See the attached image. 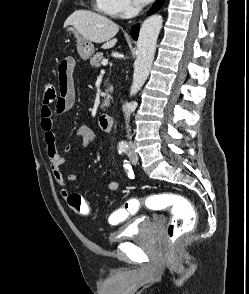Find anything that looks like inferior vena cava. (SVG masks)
<instances>
[{
  "label": "inferior vena cava",
  "instance_id": "inferior-vena-cava-1",
  "mask_svg": "<svg viewBox=\"0 0 249 294\" xmlns=\"http://www.w3.org/2000/svg\"><path fill=\"white\" fill-rule=\"evenodd\" d=\"M122 109H123V113H124L125 120H126L127 138L131 139V137L129 136V132H130L129 119H130V114H131V105L129 103H126L123 105ZM129 145L130 146L132 145L131 141H129Z\"/></svg>",
  "mask_w": 249,
  "mask_h": 294
}]
</instances>
